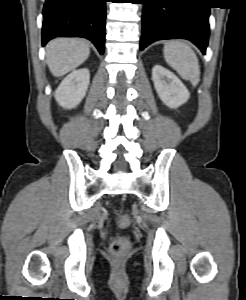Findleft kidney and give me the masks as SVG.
<instances>
[{
  "label": "left kidney",
  "mask_w": 246,
  "mask_h": 300,
  "mask_svg": "<svg viewBox=\"0 0 246 300\" xmlns=\"http://www.w3.org/2000/svg\"><path fill=\"white\" fill-rule=\"evenodd\" d=\"M152 80L158 96L170 108H178L186 103L190 93L182 81L171 71L155 65L152 69Z\"/></svg>",
  "instance_id": "left-kidney-1"
}]
</instances>
